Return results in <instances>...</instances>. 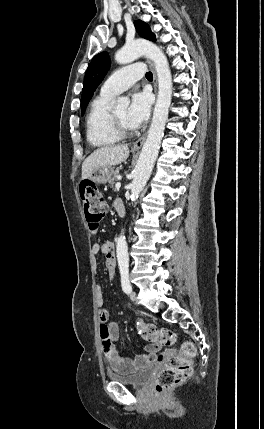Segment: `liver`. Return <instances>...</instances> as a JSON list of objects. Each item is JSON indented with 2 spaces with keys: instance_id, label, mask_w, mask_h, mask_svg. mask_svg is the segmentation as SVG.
<instances>
[{
  "instance_id": "6515ba94",
  "label": "liver",
  "mask_w": 264,
  "mask_h": 429,
  "mask_svg": "<svg viewBox=\"0 0 264 429\" xmlns=\"http://www.w3.org/2000/svg\"><path fill=\"white\" fill-rule=\"evenodd\" d=\"M129 156L128 145H112L98 148L82 164V179L88 178L102 166H113L124 162Z\"/></svg>"
}]
</instances>
